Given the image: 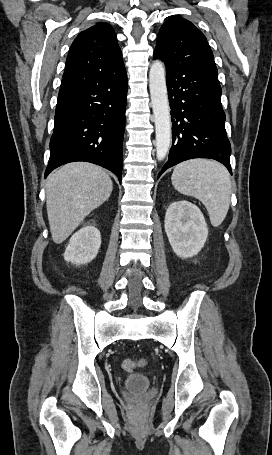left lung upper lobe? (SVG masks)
I'll use <instances>...</instances> for the list:
<instances>
[{
  "label": "left lung upper lobe",
  "mask_w": 272,
  "mask_h": 455,
  "mask_svg": "<svg viewBox=\"0 0 272 455\" xmlns=\"http://www.w3.org/2000/svg\"><path fill=\"white\" fill-rule=\"evenodd\" d=\"M166 70L186 67L216 72L213 53L203 33L190 21L171 17L162 25L154 51Z\"/></svg>",
  "instance_id": "5c2ea615"
}]
</instances>
